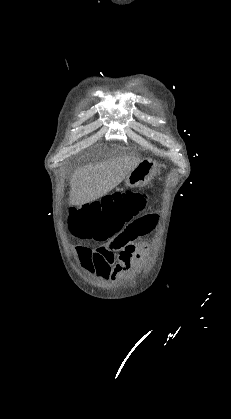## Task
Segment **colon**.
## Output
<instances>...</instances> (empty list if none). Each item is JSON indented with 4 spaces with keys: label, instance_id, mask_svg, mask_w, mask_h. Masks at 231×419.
Returning a JSON list of instances; mask_svg holds the SVG:
<instances>
[{
    "label": "colon",
    "instance_id": "obj_1",
    "mask_svg": "<svg viewBox=\"0 0 231 419\" xmlns=\"http://www.w3.org/2000/svg\"><path fill=\"white\" fill-rule=\"evenodd\" d=\"M146 196L131 191L116 192L71 213V225L87 230L96 241L119 234L144 208Z\"/></svg>",
    "mask_w": 231,
    "mask_h": 419
}]
</instances>
